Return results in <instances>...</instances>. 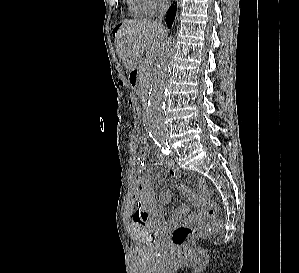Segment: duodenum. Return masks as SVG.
Segmentation results:
<instances>
[{
	"label": "duodenum",
	"instance_id": "1",
	"mask_svg": "<svg viewBox=\"0 0 299 273\" xmlns=\"http://www.w3.org/2000/svg\"><path fill=\"white\" fill-rule=\"evenodd\" d=\"M137 75H138L137 70H133L130 73V82L133 87L136 86Z\"/></svg>",
	"mask_w": 299,
	"mask_h": 273
}]
</instances>
